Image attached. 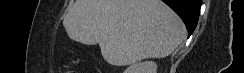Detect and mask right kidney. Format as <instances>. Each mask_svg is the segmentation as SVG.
Masks as SVG:
<instances>
[{
    "mask_svg": "<svg viewBox=\"0 0 244 73\" xmlns=\"http://www.w3.org/2000/svg\"><path fill=\"white\" fill-rule=\"evenodd\" d=\"M157 64L153 61L134 63L124 73H157Z\"/></svg>",
    "mask_w": 244,
    "mask_h": 73,
    "instance_id": "obj_1",
    "label": "right kidney"
}]
</instances>
